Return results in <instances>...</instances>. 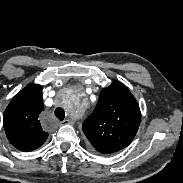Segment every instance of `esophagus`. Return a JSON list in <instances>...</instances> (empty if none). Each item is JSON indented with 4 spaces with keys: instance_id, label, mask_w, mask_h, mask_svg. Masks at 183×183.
Masks as SVG:
<instances>
[{
    "instance_id": "esophagus-1",
    "label": "esophagus",
    "mask_w": 183,
    "mask_h": 183,
    "mask_svg": "<svg viewBox=\"0 0 183 183\" xmlns=\"http://www.w3.org/2000/svg\"><path fill=\"white\" fill-rule=\"evenodd\" d=\"M61 123H62V125H69V124H71L72 122H71L70 120H68V119H65V120L62 121Z\"/></svg>"
}]
</instances>
